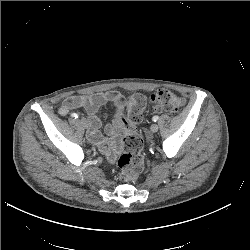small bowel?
I'll use <instances>...</instances> for the list:
<instances>
[{
	"label": "small bowel",
	"instance_id": "1",
	"mask_svg": "<svg viewBox=\"0 0 250 250\" xmlns=\"http://www.w3.org/2000/svg\"><path fill=\"white\" fill-rule=\"evenodd\" d=\"M106 102L114 103L117 108L122 107V95L116 91L109 92H99L88 95H72L67 97L61 106L58 109V113L62 116L69 114L71 111L76 110L78 108H83L88 113V132L87 138L88 140L100 147L101 151L107 156L109 160H113L115 158L116 152L114 149H109L105 147L104 137L100 132L99 128L101 125V119L99 116V112L101 107ZM107 132H112V126L108 125L106 128Z\"/></svg>",
	"mask_w": 250,
	"mask_h": 250
}]
</instances>
